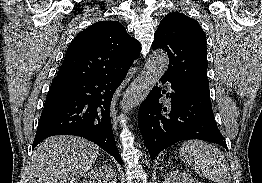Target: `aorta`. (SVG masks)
<instances>
[{"mask_svg": "<svg viewBox=\"0 0 262 183\" xmlns=\"http://www.w3.org/2000/svg\"><path fill=\"white\" fill-rule=\"evenodd\" d=\"M168 56L163 51L153 52L141 74L130 84L124 93L122 110L127 112L137 106L152 90L168 68Z\"/></svg>", "mask_w": 262, "mask_h": 183, "instance_id": "obj_1", "label": "aorta"}]
</instances>
